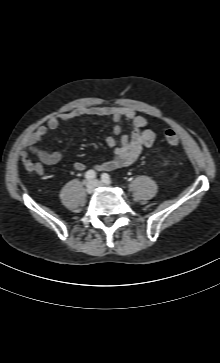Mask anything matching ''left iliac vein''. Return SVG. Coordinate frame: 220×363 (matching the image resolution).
Listing matches in <instances>:
<instances>
[{
    "instance_id": "4c4485c4",
    "label": "left iliac vein",
    "mask_w": 220,
    "mask_h": 363,
    "mask_svg": "<svg viewBox=\"0 0 220 363\" xmlns=\"http://www.w3.org/2000/svg\"><path fill=\"white\" fill-rule=\"evenodd\" d=\"M96 184V187H103L105 186L102 182H100L99 180H93Z\"/></svg>"
}]
</instances>
